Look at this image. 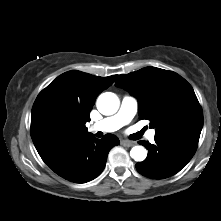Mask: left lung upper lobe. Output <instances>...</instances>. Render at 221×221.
Wrapping results in <instances>:
<instances>
[{
  "mask_svg": "<svg viewBox=\"0 0 221 221\" xmlns=\"http://www.w3.org/2000/svg\"><path fill=\"white\" fill-rule=\"evenodd\" d=\"M115 85L138 99L139 119L150 121L155 136L201 132V106L191 85L177 73L146 67L120 75Z\"/></svg>",
  "mask_w": 221,
  "mask_h": 221,
  "instance_id": "5c2ea615",
  "label": "left lung upper lobe"
}]
</instances>
